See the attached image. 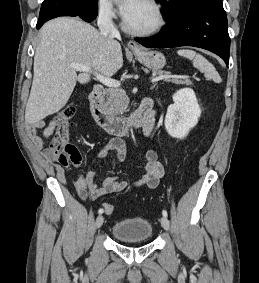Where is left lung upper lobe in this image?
I'll use <instances>...</instances> for the list:
<instances>
[{"instance_id":"left-lung-upper-lobe-1","label":"left lung upper lobe","mask_w":259,"mask_h":283,"mask_svg":"<svg viewBox=\"0 0 259 283\" xmlns=\"http://www.w3.org/2000/svg\"><path fill=\"white\" fill-rule=\"evenodd\" d=\"M163 6L162 14L167 21H171L186 13L196 4L208 0H157Z\"/></svg>"}]
</instances>
